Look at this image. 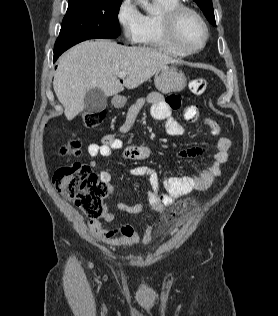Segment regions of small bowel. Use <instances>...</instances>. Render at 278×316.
Segmentation results:
<instances>
[{
    "mask_svg": "<svg viewBox=\"0 0 278 316\" xmlns=\"http://www.w3.org/2000/svg\"><path fill=\"white\" fill-rule=\"evenodd\" d=\"M149 103L151 105V116L159 121L165 122L166 132L171 136H182L185 133L183 125L171 116L174 109L181 106L180 99L176 96H170L167 99L157 92L150 93L145 98L139 99L128 110L125 122L120 127L121 133H127L133 126L142 107ZM184 118L188 122L203 121L210 129L213 135L220 133L219 125L209 117H203L195 105H188L184 109ZM231 141L229 138L220 137L217 141L216 154L213 162L209 167L202 170L198 176L183 175L171 176L161 182L157 172L151 167L139 165L130 169L129 173L133 176H145L150 184L148 194L149 205L151 209L162 214L167 207L172 205L174 201L193 191L207 190L214 180L221 175L222 165L227 162ZM115 151H121L122 157L132 161H142L150 157L151 151L147 146L143 145H125L124 142L115 137L113 134H107L102 138L100 144L90 143L87 152L92 160L89 163L91 168L97 166L96 160L100 157H111ZM200 148H191L179 152L178 157L198 156L203 154ZM100 179L111 190L113 187L112 176L108 171L100 172ZM161 185L164 186L166 192L161 193ZM118 209L130 214H138L144 210V204L141 202L128 205L119 203ZM102 219L107 222H113L115 215L111 211L105 209ZM89 228L92 235L101 243L109 246H125L132 247L138 244H148L152 239L153 228L148 227L143 235H140L135 227L131 224H124L115 228H104L100 222L91 221Z\"/></svg>",
    "mask_w": 278,
    "mask_h": 316,
    "instance_id": "obj_1",
    "label": "small bowel"
}]
</instances>
